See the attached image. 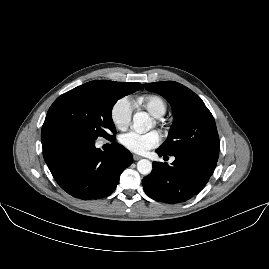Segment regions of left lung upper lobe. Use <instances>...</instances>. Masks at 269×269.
Masks as SVG:
<instances>
[{
	"label": "left lung upper lobe",
	"instance_id": "left-lung-upper-lobe-1",
	"mask_svg": "<svg viewBox=\"0 0 269 269\" xmlns=\"http://www.w3.org/2000/svg\"><path fill=\"white\" fill-rule=\"evenodd\" d=\"M144 87L162 95L172 105L173 125L167 141L160 148L217 161L219 136L215 120L201 98L174 81L145 83Z\"/></svg>",
	"mask_w": 269,
	"mask_h": 269
}]
</instances>
